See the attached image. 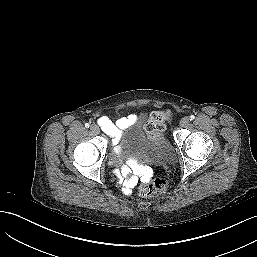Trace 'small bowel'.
<instances>
[{"label":"small bowel","instance_id":"small-bowel-1","mask_svg":"<svg viewBox=\"0 0 257 257\" xmlns=\"http://www.w3.org/2000/svg\"><path fill=\"white\" fill-rule=\"evenodd\" d=\"M133 115L119 118L116 122H112L109 118L101 116L98 119L100 127L113 138V143L116 145L120 139L121 131L134 122ZM137 173L141 180H147L151 173L146 168H138ZM130 174V169L127 166H123L120 170V175L126 177Z\"/></svg>","mask_w":257,"mask_h":257}]
</instances>
